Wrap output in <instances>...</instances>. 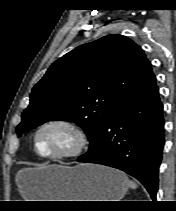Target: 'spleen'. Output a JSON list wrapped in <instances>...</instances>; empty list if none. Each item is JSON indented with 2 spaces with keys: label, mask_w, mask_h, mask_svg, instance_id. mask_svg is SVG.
Listing matches in <instances>:
<instances>
[{
  "label": "spleen",
  "mask_w": 176,
  "mask_h": 211,
  "mask_svg": "<svg viewBox=\"0 0 176 211\" xmlns=\"http://www.w3.org/2000/svg\"><path fill=\"white\" fill-rule=\"evenodd\" d=\"M130 187H131L132 189H136V188H137L136 182L130 181Z\"/></svg>",
  "instance_id": "1"
}]
</instances>
